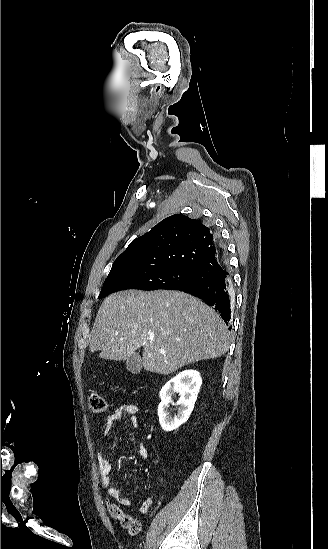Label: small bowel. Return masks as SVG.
Listing matches in <instances>:
<instances>
[{
	"label": "small bowel",
	"instance_id": "1",
	"mask_svg": "<svg viewBox=\"0 0 328 549\" xmlns=\"http://www.w3.org/2000/svg\"><path fill=\"white\" fill-rule=\"evenodd\" d=\"M139 411V407L137 404L126 402L118 406L116 409H114L108 416L103 428V434L108 435L111 431L113 425L119 421L123 416H128L130 422L137 426L138 420H137V413ZM148 451L144 443H140L139 445V451L138 456L141 459H145L147 457ZM97 458V464L99 469V474L101 477V485L103 488L107 490V494L109 497L116 500V502L123 506H129L131 504V501L124 497L122 495V492L112 484L111 480V466L107 460L106 454L104 451L99 450L96 454ZM154 505V499L153 498H147L141 505L140 511L142 513H147L152 506Z\"/></svg>",
	"mask_w": 328,
	"mask_h": 549
}]
</instances>
